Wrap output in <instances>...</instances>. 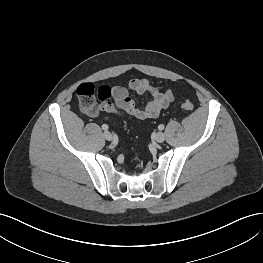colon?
Returning a JSON list of instances; mask_svg holds the SVG:
<instances>
[{
  "instance_id": "colon-1",
  "label": "colon",
  "mask_w": 263,
  "mask_h": 263,
  "mask_svg": "<svg viewBox=\"0 0 263 263\" xmlns=\"http://www.w3.org/2000/svg\"><path fill=\"white\" fill-rule=\"evenodd\" d=\"M112 90L107 85H101L98 88L92 83H82L76 90L79 107L86 113L93 110L96 106V100L105 101L111 97ZM185 111L193 110V104L185 101L181 105Z\"/></svg>"
}]
</instances>
